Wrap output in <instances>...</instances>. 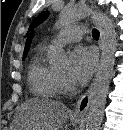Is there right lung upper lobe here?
I'll list each match as a JSON object with an SVG mask.
<instances>
[{
    "instance_id": "1",
    "label": "right lung upper lobe",
    "mask_w": 123,
    "mask_h": 130,
    "mask_svg": "<svg viewBox=\"0 0 123 130\" xmlns=\"http://www.w3.org/2000/svg\"><path fill=\"white\" fill-rule=\"evenodd\" d=\"M33 37V32L28 36L27 40H26V45H25V49H24V54L23 55H27L30 44H31V39Z\"/></svg>"
}]
</instances>
